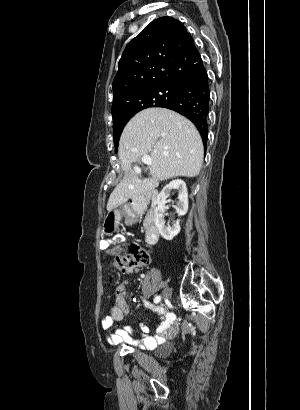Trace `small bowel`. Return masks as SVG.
<instances>
[{
    "instance_id": "obj_1",
    "label": "small bowel",
    "mask_w": 300,
    "mask_h": 410,
    "mask_svg": "<svg viewBox=\"0 0 300 410\" xmlns=\"http://www.w3.org/2000/svg\"><path fill=\"white\" fill-rule=\"evenodd\" d=\"M115 296V302L109 310V314L101 320V328L109 332L107 341L110 345L128 343L138 345L142 349H151L155 348L158 343L177 334L179 328L175 323L174 315L167 309L160 306H152L148 302H145V306L151 308L161 319L154 335L150 334L149 328L145 325H141L142 338L140 340L132 337L131 328L128 326L112 330L113 323L120 321L129 311L126 301V282L116 288Z\"/></svg>"
}]
</instances>
